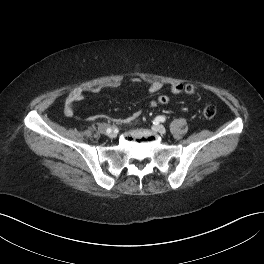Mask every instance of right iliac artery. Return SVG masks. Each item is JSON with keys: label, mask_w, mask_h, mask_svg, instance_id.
<instances>
[{"label": "right iliac artery", "mask_w": 264, "mask_h": 264, "mask_svg": "<svg viewBox=\"0 0 264 264\" xmlns=\"http://www.w3.org/2000/svg\"><path fill=\"white\" fill-rule=\"evenodd\" d=\"M112 131L111 128H106V133H110Z\"/></svg>", "instance_id": "82829eb1"}]
</instances>
